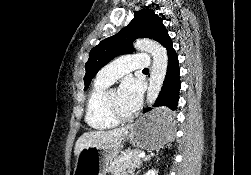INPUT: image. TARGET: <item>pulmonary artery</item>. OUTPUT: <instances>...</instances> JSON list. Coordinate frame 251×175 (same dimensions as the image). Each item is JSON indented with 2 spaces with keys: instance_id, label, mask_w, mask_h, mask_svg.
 <instances>
[{
  "instance_id": "e3ab8cb5",
  "label": "pulmonary artery",
  "mask_w": 251,
  "mask_h": 175,
  "mask_svg": "<svg viewBox=\"0 0 251 175\" xmlns=\"http://www.w3.org/2000/svg\"><path fill=\"white\" fill-rule=\"evenodd\" d=\"M150 55L147 52H128L121 58H115V62H107V67L102 69L97 79L107 84H112L121 76H128L129 70L142 71L143 67H149Z\"/></svg>"
}]
</instances>
